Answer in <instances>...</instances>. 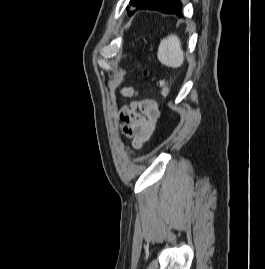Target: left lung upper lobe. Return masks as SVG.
<instances>
[{"label": "left lung upper lobe", "mask_w": 265, "mask_h": 269, "mask_svg": "<svg viewBox=\"0 0 265 269\" xmlns=\"http://www.w3.org/2000/svg\"><path fill=\"white\" fill-rule=\"evenodd\" d=\"M146 0H131L130 1V5L138 8L139 6H141ZM129 14H131V12H129Z\"/></svg>", "instance_id": "1"}]
</instances>
